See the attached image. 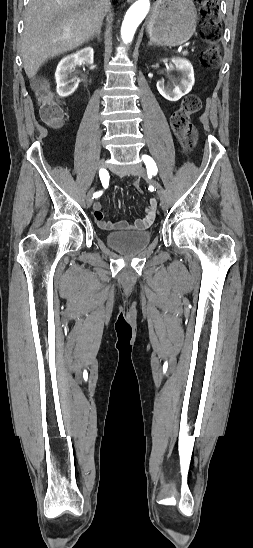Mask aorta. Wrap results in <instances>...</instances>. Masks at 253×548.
<instances>
[{
    "label": "aorta",
    "mask_w": 253,
    "mask_h": 548,
    "mask_svg": "<svg viewBox=\"0 0 253 548\" xmlns=\"http://www.w3.org/2000/svg\"><path fill=\"white\" fill-rule=\"evenodd\" d=\"M150 9L149 0H137L126 12L121 26V38L124 43H130L136 29L144 20Z\"/></svg>",
    "instance_id": "1"
}]
</instances>
